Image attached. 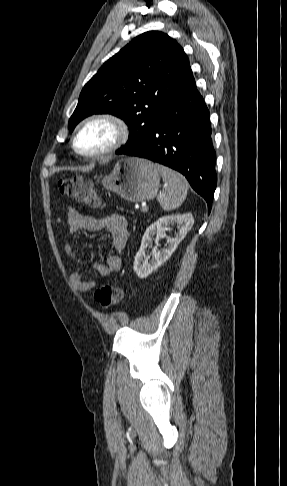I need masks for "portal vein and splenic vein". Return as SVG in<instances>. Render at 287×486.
I'll use <instances>...</instances> for the list:
<instances>
[{
	"label": "portal vein and splenic vein",
	"mask_w": 287,
	"mask_h": 486,
	"mask_svg": "<svg viewBox=\"0 0 287 486\" xmlns=\"http://www.w3.org/2000/svg\"><path fill=\"white\" fill-rule=\"evenodd\" d=\"M141 211L142 212H147L148 211V206L146 205V203L142 204Z\"/></svg>",
	"instance_id": "portal-vein-and-splenic-vein-1"
}]
</instances>
